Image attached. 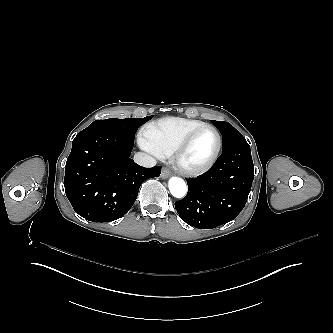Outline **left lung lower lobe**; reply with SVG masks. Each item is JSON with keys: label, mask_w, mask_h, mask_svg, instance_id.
<instances>
[{"label": "left lung lower lobe", "mask_w": 333, "mask_h": 333, "mask_svg": "<svg viewBox=\"0 0 333 333\" xmlns=\"http://www.w3.org/2000/svg\"><path fill=\"white\" fill-rule=\"evenodd\" d=\"M253 178L254 166L247 142L222 151L209 171L187 179L186 197L175 202L179 217L199 229L232 221L246 204Z\"/></svg>", "instance_id": "1"}]
</instances>
